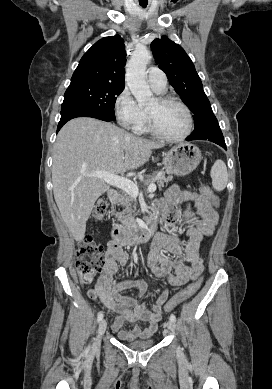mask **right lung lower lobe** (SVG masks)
Segmentation results:
<instances>
[{
	"label": "right lung lower lobe",
	"instance_id": "obj_1",
	"mask_svg": "<svg viewBox=\"0 0 272 389\" xmlns=\"http://www.w3.org/2000/svg\"><path fill=\"white\" fill-rule=\"evenodd\" d=\"M76 117H92L97 118L103 121H114L112 118H109L95 110L85 108V107H65L61 108V119L57 127V132L61 127L70 119Z\"/></svg>",
	"mask_w": 272,
	"mask_h": 389
}]
</instances>
